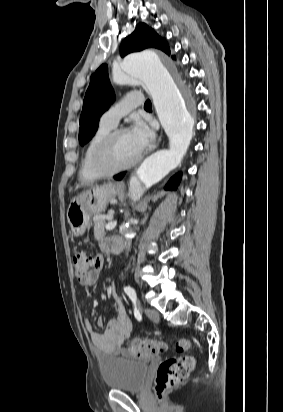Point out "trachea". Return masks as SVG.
Here are the masks:
<instances>
[{
    "instance_id": "trachea-1",
    "label": "trachea",
    "mask_w": 283,
    "mask_h": 412,
    "mask_svg": "<svg viewBox=\"0 0 283 412\" xmlns=\"http://www.w3.org/2000/svg\"><path fill=\"white\" fill-rule=\"evenodd\" d=\"M152 107V104H151V101L150 100H147L146 102H145V105H144V108H151Z\"/></svg>"
}]
</instances>
